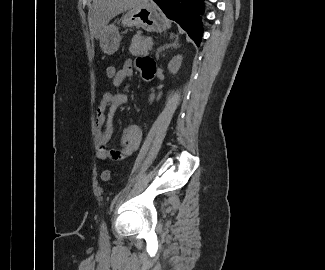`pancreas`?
<instances>
[{
	"mask_svg": "<svg viewBox=\"0 0 325 270\" xmlns=\"http://www.w3.org/2000/svg\"><path fill=\"white\" fill-rule=\"evenodd\" d=\"M150 38L142 37L137 34L133 37L129 51L134 56L146 55L148 51L151 49L149 45Z\"/></svg>",
	"mask_w": 325,
	"mask_h": 270,
	"instance_id": "pancreas-1",
	"label": "pancreas"
}]
</instances>
